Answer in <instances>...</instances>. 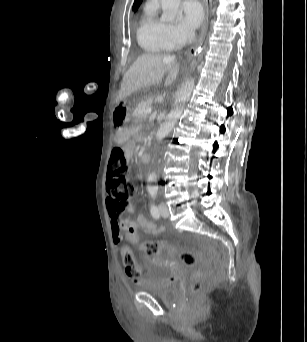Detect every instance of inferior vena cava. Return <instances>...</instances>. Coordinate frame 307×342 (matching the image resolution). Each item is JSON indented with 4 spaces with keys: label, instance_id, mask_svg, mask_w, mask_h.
<instances>
[{
    "label": "inferior vena cava",
    "instance_id": "602c4592",
    "mask_svg": "<svg viewBox=\"0 0 307 342\" xmlns=\"http://www.w3.org/2000/svg\"><path fill=\"white\" fill-rule=\"evenodd\" d=\"M188 38H189V42H191V40H193V38H194V32H191V34H189Z\"/></svg>",
    "mask_w": 307,
    "mask_h": 342
}]
</instances>
